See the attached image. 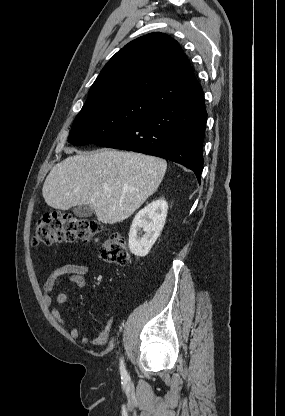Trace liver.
<instances>
[{
    "label": "liver",
    "mask_w": 285,
    "mask_h": 416,
    "mask_svg": "<svg viewBox=\"0 0 285 416\" xmlns=\"http://www.w3.org/2000/svg\"><path fill=\"white\" fill-rule=\"evenodd\" d=\"M78 152L65 148V154ZM167 170L165 160L102 148L78 152L53 166L42 188L55 210L90 206L98 222L116 224L130 218L158 190ZM111 192V194H109Z\"/></svg>",
    "instance_id": "6515ba94"
}]
</instances>
